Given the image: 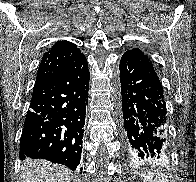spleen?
Returning a JSON list of instances; mask_svg holds the SVG:
<instances>
[{
  "label": "spleen",
  "mask_w": 196,
  "mask_h": 182,
  "mask_svg": "<svg viewBox=\"0 0 196 182\" xmlns=\"http://www.w3.org/2000/svg\"><path fill=\"white\" fill-rule=\"evenodd\" d=\"M143 180L144 182H168L167 178L162 173L150 171L143 175Z\"/></svg>",
  "instance_id": "obj_1"
}]
</instances>
